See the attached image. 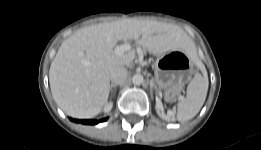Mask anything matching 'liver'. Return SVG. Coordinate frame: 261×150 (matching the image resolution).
<instances>
[{
  "label": "liver",
  "mask_w": 261,
  "mask_h": 150,
  "mask_svg": "<svg viewBox=\"0 0 261 150\" xmlns=\"http://www.w3.org/2000/svg\"><path fill=\"white\" fill-rule=\"evenodd\" d=\"M133 39L152 54L194 49L181 28L157 21L127 18L81 28L61 44L50 66L49 83L58 106L76 118L98 115L108 100L111 69L135 57V51L117 55V42Z\"/></svg>",
  "instance_id": "liver-1"
}]
</instances>
